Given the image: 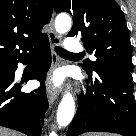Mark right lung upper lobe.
<instances>
[{
  "instance_id": "1",
  "label": "right lung upper lobe",
  "mask_w": 136,
  "mask_h": 136,
  "mask_svg": "<svg viewBox=\"0 0 136 136\" xmlns=\"http://www.w3.org/2000/svg\"><path fill=\"white\" fill-rule=\"evenodd\" d=\"M51 16L50 0H0V64L18 60L45 41L41 30Z\"/></svg>"
}]
</instances>
